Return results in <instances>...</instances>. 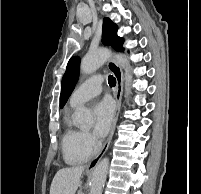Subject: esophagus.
<instances>
[{"label":"esophagus","instance_id":"esophagus-1","mask_svg":"<svg viewBox=\"0 0 201 194\" xmlns=\"http://www.w3.org/2000/svg\"><path fill=\"white\" fill-rule=\"evenodd\" d=\"M107 65L109 70L113 73V75L116 78V89H115L116 110H115V115L113 118L109 136L107 140L105 141L99 154L93 160H91L89 164L87 165V170H93L96 167V165L99 163L100 159L103 157L105 152L107 151L116 128V124H117V120H118V116H119L120 108H121V99L123 94V72L119 64L115 62L113 59H110Z\"/></svg>","mask_w":201,"mask_h":194}]
</instances>
